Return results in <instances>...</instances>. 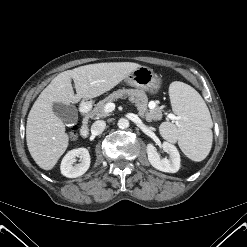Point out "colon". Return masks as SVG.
Wrapping results in <instances>:
<instances>
[{"mask_svg":"<svg viewBox=\"0 0 247 247\" xmlns=\"http://www.w3.org/2000/svg\"><path fill=\"white\" fill-rule=\"evenodd\" d=\"M69 135H70V138H71V139H76V138H77V128H73V129L70 131Z\"/></svg>","mask_w":247,"mask_h":247,"instance_id":"1","label":"colon"}]
</instances>
